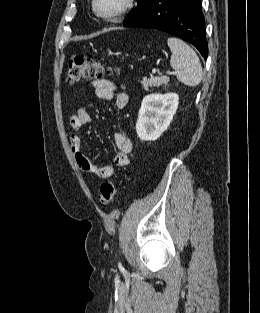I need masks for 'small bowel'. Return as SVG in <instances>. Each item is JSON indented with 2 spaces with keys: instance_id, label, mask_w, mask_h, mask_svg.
Returning <instances> with one entry per match:
<instances>
[{
  "instance_id": "1",
  "label": "small bowel",
  "mask_w": 260,
  "mask_h": 313,
  "mask_svg": "<svg viewBox=\"0 0 260 313\" xmlns=\"http://www.w3.org/2000/svg\"><path fill=\"white\" fill-rule=\"evenodd\" d=\"M95 95L104 100H114L117 109H123L128 101L129 94L123 86L108 79L93 81ZM91 121L89 112L81 107L76 113L69 116L70 147L78 169L86 175H94L99 178H110L115 173V167L111 165H95L82 151V140L79 131ZM113 143L116 148L114 164L123 167L129 164V154L132 151V141L126 132L120 131L113 135Z\"/></svg>"
}]
</instances>
